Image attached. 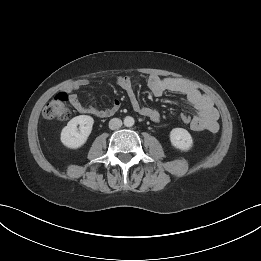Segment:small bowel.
<instances>
[{
	"label": "small bowel",
	"mask_w": 261,
	"mask_h": 261,
	"mask_svg": "<svg viewBox=\"0 0 261 261\" xmlns=\"http://www.w3.org/2000/svg\"><path fill=\"white\" fill-rule=\"evenodd\" d=\"M87 83L88 81L85 79L78 80L66 90L68 100L77 112L81 114H92L98 117H108L113 115L120 108V102L118 100H114L111 107L107 109H98L91 105H83L75 91L87 85ZM117 84L127 93L131 106L135 112L154 122L160 121V114L156 109L142 106L139 103L135 94L133 81L129 77H119L117 79ZM147 86L156 97L163 95L165 92H172L185 96L187 101L196 110V114L191 118L190 126L192 130L209 131L212 133L218 131L219 113L214 107L213 102L189 82L177 78H162L157 75H150L147 79Z\"/></svg>",
	"instance_id": "1"
}]
</instances>
